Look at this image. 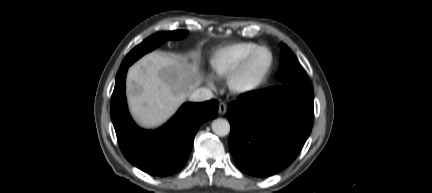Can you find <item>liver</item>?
<instances>
[{
    "label": "liver",
    "mask_w": 432,
    "mask_h": 193,
    "mask_svg": "<svg viewBox=\"0 0 432 193\" xmlns=\"http://www.w3.org/2000/svg\"><path fill=\"white\" fill-rule=\"evenodd\" d=\"M199 53L192 61L152 52L129 68L127 97L136 122L154 128L166 122L203 81Z\"/></svg>",
    "instance_id": "obj_1"
}]
</instances>
